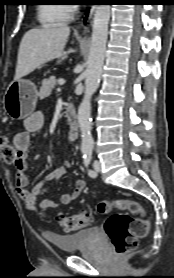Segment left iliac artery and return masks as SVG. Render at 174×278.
Returning <instances> with one entry per match:
<instances>
[{
  "label": "left iliac artery",
  "instance_id": "left-iliac-artery-1",
  "mask_svg": "<svg viewBox=\"0 0 174 278\" xmlns=\"http://www.w3.org/2000/svg\"><path fill=\"white\" fill-rule=\"evenodd\" d=\"M83 158H84L83 163H84L85 167L88 168V166H89V164L91 162V159H92V151L91 150H86L84 152ZM88 175L90 177H95L97 174H96L95 171H93L91 169H88Z\"/></svg>",
  "mask_w": 174,
  "mask_h": 278
}]
</instances>
